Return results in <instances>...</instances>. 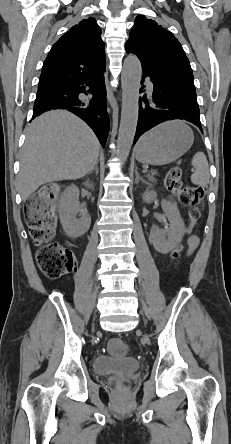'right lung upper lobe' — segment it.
<instances>
[{
    "label": "right lung upper lobe",
    "mask_w": 231,
    "mask_h": 444,
    "mask_svg": "<svg viewBox=\"0 0 231 444\" xmlns=\"http://www.w3.org/2000/svg\"><path fill=\"white\" fill-rule=\"evenodd\" d=\"M105 67L101 29L90 17L73 26L52 46L42 67L38 89L97 76Z\"/></svg>",
    "instance_id": "cb5924a9"
}]
</instances>
